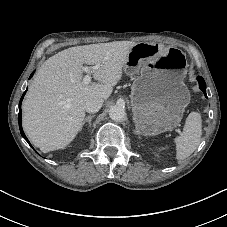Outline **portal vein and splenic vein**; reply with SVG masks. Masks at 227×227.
<instances>
[{
  "mask_svg": "<svg viewBox=\"0 0 227 227\" xmlns=\"http://www.w3.org/2000/svg\"><path fill=\"white\" fill-rule=\"evenodd\" d=\"M99 68V65H95L92 67H84V71L86 72V75L83 78V84L88 85L91 82V70H96ZM178 132L180 133V130H178Z\"/></svg>",
  "mask_w": 227,
  "mask_h": 227,
  "instance_id": "portal-vein-and-splenic-vein-1",
  "label": "portal vein and splenic vein"
}]
</instances>
